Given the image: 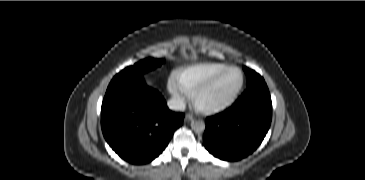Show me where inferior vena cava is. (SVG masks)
I'll use <instances>...</instances> for the list:
<instances>
[{
	"label": "inferior vena cava",
	"instance_id": "1",
	"mask_svg": "<svg viewBox=\"0 0 365 180\" xmlns=\"http://www.w3.org/2000/svg\"><path fill=\"white\" fill-rule=\"evenodd\" d=\"M167 105L169 109L175 111H184L186 107L184 99L179 96L172 97L170 100H168Z\"/></svg>",
	"mask_w": 365,
	"mask_h": 180
}]
</instances>
